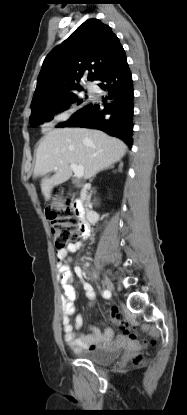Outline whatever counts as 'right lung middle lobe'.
Segmentation results:
<instances>
[{
  "instance_id": "1",
  "label": "right lung middle lobe",
  "mask_w": 187,
  "mask_h": 415,
  "mask_svg": "<svg viewBox=\"0 0 187 415\" xmlns=\"http://www.w3.org/2000/svg\"><path fill=\"white\" fill-rule=\"evenodd\" d=\"M76 90H79L76 89ZM83 102L82 99H78L74 91L65 95L60 101L43 105L32 110L30 116V125L36 127L44 122L52 120L54 113L68 109L72 104L80 105Z\"/></svg>"
}]
</instances>
